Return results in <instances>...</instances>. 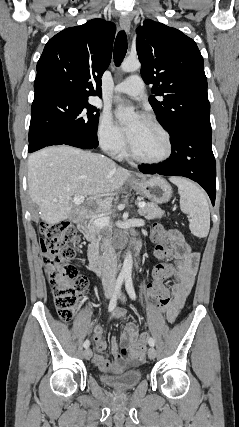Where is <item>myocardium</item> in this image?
Returning a JSON list of instances; mask_svg holds the SVG:
<instances>
[{
  "instance_id": "1",
  "label": "myocardium",
  "mask_w": 239,
  "mask_h": 427,
  "mask_svg": "<svg viewBox=\"0 0 239 427\" xmlns=\"http://www.w3.org/2000/svg\"><path fill=\"white\" fill-rule=\"evenodd\" d=\"M144 120H146L147 122H149L150 124H152L154 127H156L165 137L166 139V143H167V150L165 152V154L157 159H147L144 158L140 155H138L132 148L130 142L128 141L127 143V153L128 156L139 162L142 164H146V165H158L161 163H164L165 161H167L173 154V150H174V146H173V140H172V136L170 134V132L157 120L155 119L153 116L151 115H144L142 117Z\"/></svg>"
}]
</instances>
